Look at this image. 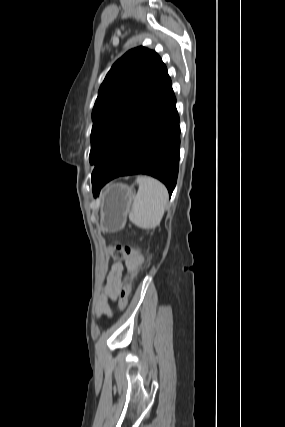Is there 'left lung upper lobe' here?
I'll return each mask as SVG.
<instances>
[{"label":"left lung upper lobe","instance_id":"left-lung-upper-lobe-1","mask_svg":"<svg viewBox=\"0 0 285 427\" xmlns=\"http://www.w3.org/2000/svg\"><path fill=\"white\" fill-rule=\"evenodd\" d=\"M167 76L161 58L137 47L118 59L100 86L93 111L90 163L95 164L147 107Z\"/></svg>","mask_w":285,"mask_h":427}]
</instances>
